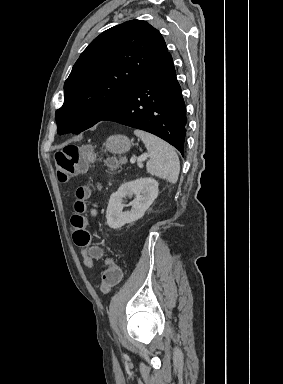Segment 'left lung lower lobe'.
Returning a JSON list of instances; mask_svg holds the SVG:
<instances>
[{"label": "left lung lower lobe", "mask_w": 283, "mask_h": 384, "mask_svg": "<svg viewBox=\"0 0 283 384\" xmlns=\"http://www.w3.org/2000/svg\"><path fill=\"white\" fill-rule=\"evenodd\" d=\"M103 120L150 132L184 155L187 122L185 103L168 51L137 83L123 103Z\"/></svg>", "instance_id": "1"}]
</instances>
